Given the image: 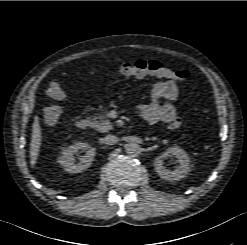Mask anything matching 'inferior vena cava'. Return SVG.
I'll list each match as a JSON object with an SVG mask.
<instances>
[{"instance_id":"602c4592","label":"inferior vena cava","mask_w":247,"mask_h":245,"mask_svg":"<svg viewBox=\"0 0 247 245\" xmlns=\"http://www.w3.org/2000/svg\"><path fill=\"white\" fill-rule=\"evenodd\" d=\"M103 141L106 144L113 145L116 144L119 141V139L115 135H107L103 138Z\"/></svg>"}]
</instances>
